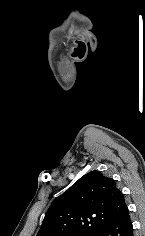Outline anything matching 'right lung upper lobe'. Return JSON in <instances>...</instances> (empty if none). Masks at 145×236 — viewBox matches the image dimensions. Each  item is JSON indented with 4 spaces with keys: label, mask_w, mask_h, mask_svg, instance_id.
Returning a JSON list of instances; mask_svg holds the SVG:
<instances>
[{
    "label": "right lung upper lobe",
    "mask_w": 145,
    "mask_h": 236,
    "mask_svg": "<svg viewBox=\"0 0 145 236\" xmlns=\"http://www.w3.org/2000/svg\"><path fill=\"white\" fill-rule=\"evenodd\" d=\"M126 208L114 180L91 171L53 202L37 236H95Z\"/></svg>",
    "instance_id": "obj_1"
}]
</instances>
